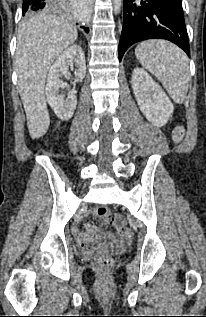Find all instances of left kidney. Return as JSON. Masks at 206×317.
<instances>
[{
  "instance_id": "1",
  "label": "left kidney",
  "mask_w": 206,
  "mask_h": 317,
  "mask_svg": "<svg viewBox=\"0 0 206 317\" xmlns=\"http://www.w3.org/2000/svg\"><path fill=\"white\" fill-rule=\"evenodd\" d=\"M132 89L141 112L156 126H164L174 111L163 89L142 68L132 74Z\"/></svg>"
}]
</instances>
